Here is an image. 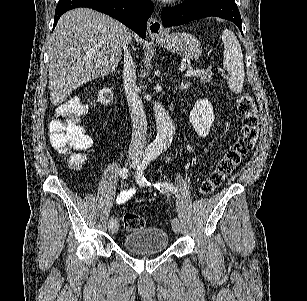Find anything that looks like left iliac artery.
Listing matches in <instances>:
<instances>
[{
  "label": "left iliac artery",
  "mask_w": 307,
  "mask_h": 301,
  "mask_svg": "<svg viewBox=\"0 0 307 301\" xmlns=\"http://www.w3.org/2000/svg\"><path fill=\"white\" fill-rule=\"evenodd\" d=\"M151 158H146L142 161L140 166L137 168V182L140 185H150L151 183L146 180V178L143 175V170L147 167V165L151 162ZM154 187H156L160 191H171L173 194L178 195L177 187H175L173 184L168 182H158L153 184Z\"/></svg>",
  "instance_id": "44dca946"
}]
</instances>
